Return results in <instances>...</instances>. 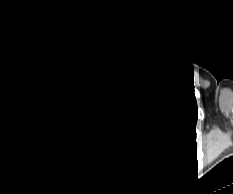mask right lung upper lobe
<instances>
[{
  "mask_svg": "<svg viewBox=\"0 0 233 194\" xmlns=\"http://www.w3.org/2000/svg\"><path fill=\"white\" fill-rule=\"evenodd\" d=\"M78 103L61 107L57 123V135L58 140L66 145L72 153L83 156L90 152L92 142L81 124L80 105Z\"/></svg>",
  "mask_w": 233,
  "mask_h": 194,
  "instance_id": "1",
  "label": "right lung upper lobe"
}]
</instances>
